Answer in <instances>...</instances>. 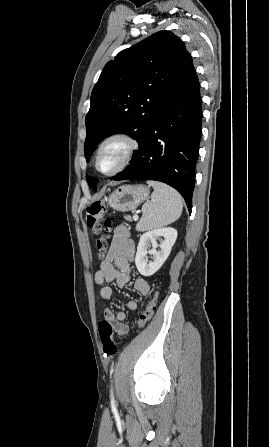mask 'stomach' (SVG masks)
I'll list each match as a JSON object with an SVG mask.
<instances>
[{
  "instance_id": "obj_1",
  "label": "stomach",
  "mask_w": 269,
  "mask_h": 447,
  "mask_svg": "<svg viewBox=\"0 0 269 447\" xmlns=\"http://www.w3.org/2000/svg\"><path fill=\"white\" fill-rule=\"evenodd\" d=\"M148 196L149 188L146 186H120L113 194H110L106 202L112 210L131 212V210H136L139 204L145 202Z\"/></svg>"
}]
</instances>
